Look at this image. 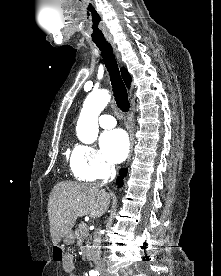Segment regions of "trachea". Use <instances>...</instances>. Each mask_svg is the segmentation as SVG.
Instances as JSON below:
<instances>
[{
    "label": "trachea",
    "instance_id": "obj_1",
    "mask_svg": "<svg viewBox=\"0 0 221 276\" xmlns=\"http://www.w3.org/2000/svg\"><path fill=\"white\" fill-rule=\"evenodd\" d=\"M96 34H99V32H96ZM95 44L101 51L104 64L109 73L116 104L122 112H128L130 109L128 94L124 82L120 76L117 61L113 54V48L107 41L95 42Z\"/></svg>",
    "mask_w": 221,
    "mask_h": 276
}]
</instances>
